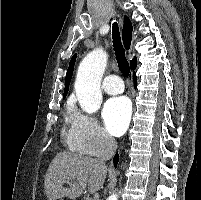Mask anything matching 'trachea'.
<instances>
[{
	"instance_id": "3493384b",
	"label": "trachea",
	"mask_w": 201,
	"mask_h": 200,
	"mask_svg": "<svg viewBox=\"0 0 201 200\" xmlns=\"http://www.w3.org/2000/svg\"><path fill=\"white\" fill-rule=\"evenodd\" d=\"M112 39L118 67L121 73L128 77L131 75V71L125 56V49L121 42L119 27L116 22H114L112 26Z\"/></svg>"
}]
</instances>
